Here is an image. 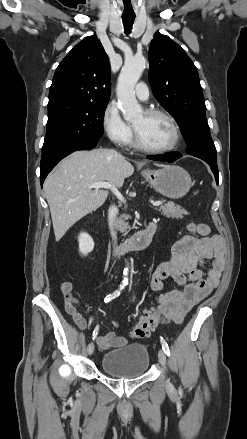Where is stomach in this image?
<instances>
[{
  "label": "stomach",
  "instance_id": "obj_1",
  "mask_svg": "<svg viewBox=\"0 0 247 439\" xmlns=\"http://www.w3.org/2000/svg\"><path fill=\"white\" fill-rule=\"evenodd\" d=\"M141 174L157 192L170 199L182 198L192 186L189 173L175 165H165L156 170L146 169Z\"/></svg>",
  "mask_w": 247,
  "mask_h": 439
}]
</instances>
